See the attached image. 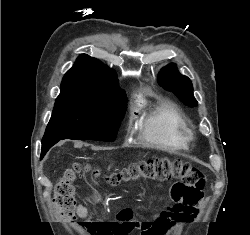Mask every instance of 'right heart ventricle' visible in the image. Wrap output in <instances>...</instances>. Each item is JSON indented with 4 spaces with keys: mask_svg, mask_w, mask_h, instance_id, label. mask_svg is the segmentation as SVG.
Segmentation results:
<instances>
[{
    "mask_svg": "<svg viewBox=\"0 0 250 235\" xmlns=\"http://www.w3.org/2000/svg\"><path fill=\"white\" fill-rule=\"evenodd\" d=\"M140 136L152 146L171 151L187 149L190 143V132L183 115L168 101L142 111Z\"/></svg>",
    "mask_w": 250,
    "mask_h": 235,
    "instance_id": "obj_1",
    "label": "right heart ventricle"
}]
</instances>
